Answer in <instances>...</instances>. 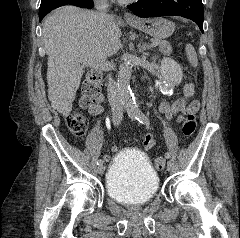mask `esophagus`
I'll list each match as a JSON object with an SVG mask.
<instances>
[{
    "label": "esophagus",
    "instance_id": "1",
    "mask_svg": "<svg viewBox=\"0 0 240 238\" xmlns=\"http://www.w3.org/2000/svg\"><path fill=\"white\" fill-rule=\"evenodd\" d=\"M124 19H126V20H135L136 17L132 13H130V12H125L124 13Z\"/></svg>",
    "mask_w": 240,
    "mask_h": 238
}]
</instances>
